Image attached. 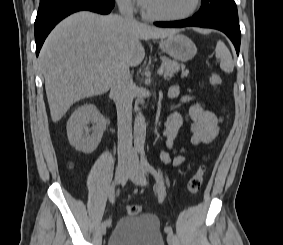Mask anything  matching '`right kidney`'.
Listing matches in <instances>:
<instances>
[{
	"instance_id": "1",
	"label": "right kidney",
	"mask_w": 283,
	"mask_h": 245,
	"mask_svg": "<svg viewBox=\"0 0 283 245\" xmlns=\"http://www.w3.org/2000/svg\"><path fill=\"white\" fill-rule=\"evenodd\" d=\"M90 122L92 129L88 127ZM105 128L106 120L98 109L92 104H85L76 109L68 120V140L77 150L89 154L97 148Z\"/></svg>"
}]
</instances>
